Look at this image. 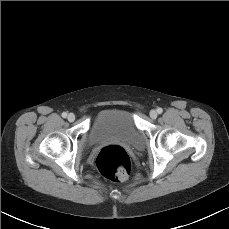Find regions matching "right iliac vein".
Masks as SVG:
<instances>
[{"instance_id":"1","label":"right iliac vein","mask_w":229,"mask_h":229,"mask_svg":"<svg viewBox=\"0 0 229 229\" xmlns=\"http://www.w3.org/2000/svg\"><path fill=\"white\" fill-rule=\"evenodd\" d=\"M67 119L70 121V122H73L75 120V115L73 113H70L68 116H67Z\"/></svg>"}]
</instances>
